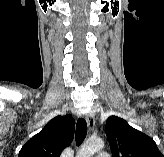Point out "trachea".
I'll list each match as a JSON object with an SVG mask.
<instances>
[{
	"instance_id": "1",
	"label": "trachea",
	"mask_w": 164,
	"mask_h": 157,
	"mask_svg": "<svg viewBox=\"0 0 164 157\" xmlns=\"http://www.w3.org/2000/svg\"><path fill=\"white\" fill-rule=\"evenodd\" d=\"M87 134V123L85 119H78L76 124V144L79 146Z\"/></svg>"
}]
</instances>
